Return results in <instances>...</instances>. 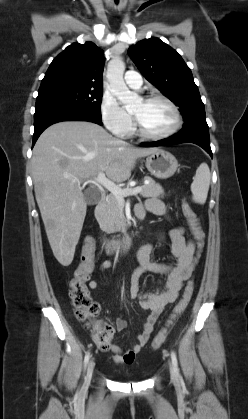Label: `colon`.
I'll return each instance as SVG.
<instances>
[{
	"label": "colon",
	"mask_w": 248,
	"mask_h": 419,
	"mask_svg": "<svg viewBox=\"0 0 248 419\" xmlns=\"http://www.w3.org/2000/svg\"><path fill=\"white\" fill-rule=\"evenodd\" d=\"M182 212L200 250L203 242V232L199 219L187 202H183ZM95 251V240L89 236L83 244L80 265L75 270L69 282V296L75 307L76 318L83 322L85 327L91 331L94 343L99 346L106 345L111 341L113 328L107 323L95 321V317L99 312V305L91 299L86 285L94 266ZM193 288V282L189 281L166 326L155 336L152 342V348L154 350L158 349L164 343L170 329L187 308L191 300Z\"/></svg>",
	"instance_id": "5ec220e1"
}]
</instances>
